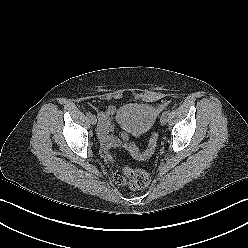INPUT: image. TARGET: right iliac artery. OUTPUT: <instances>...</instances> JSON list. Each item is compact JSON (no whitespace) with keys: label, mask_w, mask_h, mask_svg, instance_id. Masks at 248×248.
I'll use <instances>...</instances> for the list:
<instances>
[{"label":"right iliac artery","mask_w":248,"mask_h":248,"mask_svg":"<svg viewBox=\"0 0 248 248\" xmlns=\"http://www.w3.org/2000/svg\"><path fill=\"white\" fill-rule=\"evenodd\" d=\"M87 116L88 117H91L92 116V113L91 112H87Z\"/></svg>","instance_id":"82829eb1"}]
</instances>
